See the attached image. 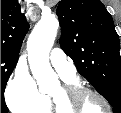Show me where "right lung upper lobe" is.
Wrapping results in <instances>:
<instances>
[{"label":"right lung upper lobe","mask_w":121,"mask_h":113,"mask_svg":"<svg viewBox=\"0 0 121 113\" xmlns=\"http://www.w3.org/2000/svg\"><path fill=\"white\" fill-rule=\"evenodd\" d=\"M29 25L17 0H1V54L19 57Z\"/></svg>","instance_id":"cb5924a9"}]
</instances>
